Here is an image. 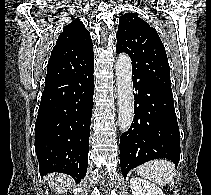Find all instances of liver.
Instances as JSON below:
<instances>
[{
  "label": "liver",
  "instance_id": "1",
  "mask_svg": "<svg viewBox=\"0 0 211 195\" xmlns=\"http://www.w3.org/2000/svg\"><path fill=\"white\" fill-rule=\"evenodd\" d=\"M71 178L64 174H51L49 176V186L58 194L67 192L70 188Z\"/></svg>",
  "mask_w": 211,
  "mask_h": 195
}]
</instances>
